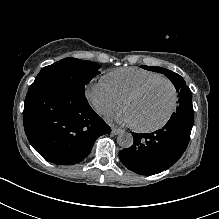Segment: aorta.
I'll use <instances>...</instances> for the list:
<instances>
[{"mask_svg": "<svg viewBox=\"0 0 219 219\" xmlns=\"http://www.w3.org/2000/svg\"><path fill=\"white\" fill-rule=\"evenodd\" d=\"M117 142L122 148H129L133 145V137L130 133H123L117 137Z\"/></svg>", "mask_w": 219, "mask_h": 219, "instance_id": "obj_1", "label": "aorta"}]
</instances>
